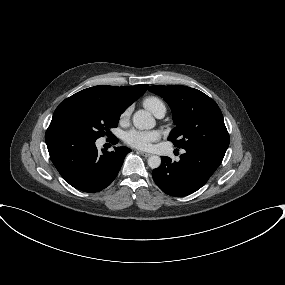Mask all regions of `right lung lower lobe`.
<instances>
[{
    "mask_svg": "<svg viewBox=\"0 0 285 285\" xmlns=\"http://www.w3.org/2000/svg\"><path fill=\"white\" fill-rule=\"evenodd\" d=\"M45 141L50 159L60 175L74 188L84 192H98L106 188L117 176L125 156L126 147L100 154L95 139L80 130L59 122H51Z\"/></svg>",
    "mask_w": 285,
    "mask_h": 285,
    "instance_id": "98d812e1",
    "label": "right lung lower lobe"
}]
</instances>
